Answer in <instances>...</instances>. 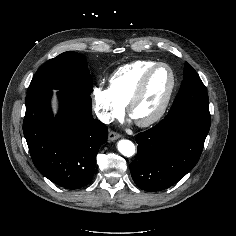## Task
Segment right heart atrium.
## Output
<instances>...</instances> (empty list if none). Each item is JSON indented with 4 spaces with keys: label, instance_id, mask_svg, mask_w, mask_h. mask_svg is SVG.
Masks as SVG:
<instances>
[{
    "label": "right heart atrium",
    "instance_id": "right-heart-atrium-1",
    "mask_svg": "<svg viewBox=\"0 0 236 236\" xmlns=\"http://www.w3.org/2000/svg\"><path fill=\"white\" fill-rule=\"evenodd\" d=\"M92 95L96 115L103 123H109L122 114L124 106L115 99L109 88L96 86Z\"/></svg>",
    "mask_w": 236,
    "mask_h": 236
}]
</instances>
